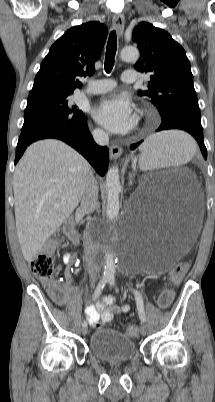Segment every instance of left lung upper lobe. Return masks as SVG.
I'll return each mask as SVG.
<instances>
[{"instance_id": "5c2ea615", "label": "left lung upper lobe", "mask_w": 215, "mask_h": 402, "mask_svg": "<svg viewBox=\"0 0 215 402\" xmlns=\"http://www.w3.org/2000/svg\"><path fill=\"white\" fill-rule=\"evenodd\" d=\"M132 38L140 51L135 69L151 75L149 89L139 94L151 100L161 119L179 116L201 123L190 63L181 45L147 22L135 27Z\"/></svg>"}]
</instances>
